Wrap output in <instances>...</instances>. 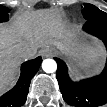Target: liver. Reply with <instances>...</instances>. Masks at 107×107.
Here are the masks:
<instances>
[{
    "mask_svg": "<svg viewBox=\"0 0 107 107\" xmlns=\"http://www.w3.org/2000/svg\"><path fill=\"white\" fill-rule=\"evenodd\" d=\"M72 42L62 15L48 9L24 12L16 15L8 25L0 27V87L1 92L11 87L20 63L27 58L20 55L24 49L38 51L46 45H55L65 49ZM104 55L100 45L93 44L85 48L84 58L98 62Z\"/></svg>",
    "mask_w": 107,
    "mask_h": 107,
    "instance_id": "1",
    "label": "liver"
}]
</instances>
